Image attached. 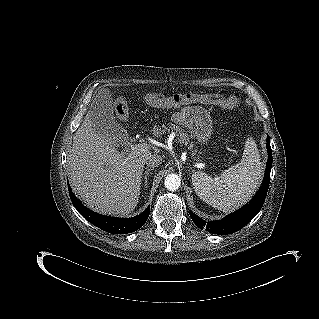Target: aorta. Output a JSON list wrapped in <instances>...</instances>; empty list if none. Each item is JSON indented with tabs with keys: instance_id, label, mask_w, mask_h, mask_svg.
Listing matches in <instances>:
<instances>
[{
	"instance_id": "1",
	"label": "aorta",
	"mask_w": 319,
	"mask_h": 319,
	"mask_svg": "<svg viewBox=\"0 0 319 319\" xmlns=\"http://www.w3.org/2000/svg\"><path fill=\"white\" fill-rule=\"evenodd\" d=\"M181 184V179L176 174H169L166 176L164 185L169 191H176Z\"/></svg>"
}]
</instances>
